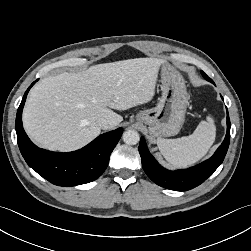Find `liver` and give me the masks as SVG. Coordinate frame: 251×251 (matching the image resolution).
Segmentation results:
<instances>
[{
	"instance_id": "obj_1",
	"label": "liver",
	"mask_w": 251,
	"mask_h": 251,
	"mask_svg": "<svg viewBox=\"0 0 251 251\" xmlns=\"http://www.w3.org/2000/svg\"><path fill=\"white\" fill-rule=\"evenodd\" d=\"M164 63L157 58H135L44 78L28 95L24 129L43 148L79 149L100 134L99 118L109 119L114 127L123 120L112 109L127 110L153 98Z\"/></svg>"
}]
</instances>
